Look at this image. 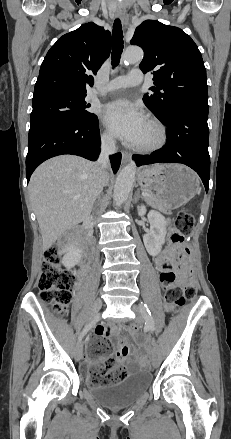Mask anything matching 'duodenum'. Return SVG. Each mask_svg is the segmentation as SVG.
I'll return each mask as SVG.
<instances>
[{"mask_svg": "<svg viewBox=\"0 0 231 439\" xmlns=\"http://www.w3.org/2000/svg\"><path fill=\"white\" fill-rule=\"evenodd\" d=\"M87 228L85 226L81 227L79 233H83Z\"/></svg>", "mask_w": 231, "mask_h": 439, "instance_id": "1", "label": "duodenum"}]
</instances>
